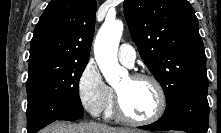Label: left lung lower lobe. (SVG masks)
I'll return each instance as SVG.
<instances>
[{
	"label": "left lung lower lobe",
	"instance_id": "left-lung-lower-lobe-1",
	"mask_svg": "<svg viewBox=\"0 0 221 133\" xmlns=\"http://www.w3.org/2000/svg\"><path fill=\"white\" fill-rule=\"evenodd\" d=\"M209 104L207 90H194L184 94L156 122L140 126L152 131L180 130L187 133H207Z\"/></svg>",
	"mask_w": 221,
	"mask_h": 133
}]
</instances>
